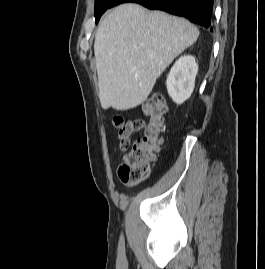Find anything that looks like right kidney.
<instances>
[{
	"label": "right kidney",
	"mask_w": 265,
	"mask_h": 269,
	"mask_svg": "<svg viewBox=\"0 0 265 269\" xmlns=\"http://www.w3.org/2000/svg\"><path fill=\"white\" fill-rule=\"evenodd\" d=\"M197 72L198 64L191 55L182 56L175 62L166 81L168 94L175 103L182 104L191 96Z\"/></svg>",
	"instance_id": "ca27d5eb"
}]
</instances>
